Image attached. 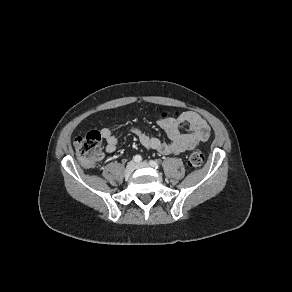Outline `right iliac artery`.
Instances as JSON below:
<instances>
[{"label":"right iliac artery","instance_id":"obj_1","mask_svg":"<svg viewBox=\"0 0 292 292\" xmlns=\"http://www.w3.org/2000/svg\"><path fill=\"white\" fill-rule=\"evenodd\" d=\"M133 160H134L135 162L139 163V162L142 161V157H141L140 155H135V156L133 157Z\"/></svg>","mask_w":292,"mask_h":292}]
</instances>
